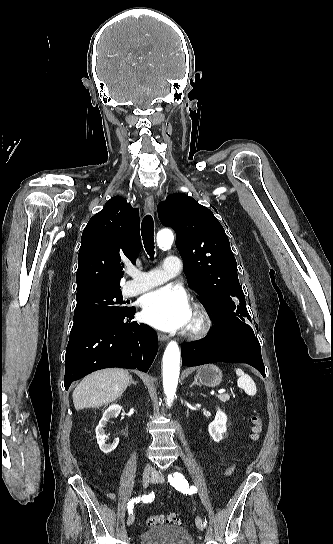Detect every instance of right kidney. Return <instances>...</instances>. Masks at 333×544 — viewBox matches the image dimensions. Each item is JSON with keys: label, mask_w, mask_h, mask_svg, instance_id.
<instances>
[{"label": "right kidney", "mask_w": 333, "mask_h": 544, "mask_svg": "<svg viewBox=\"0 0 333 544\" xmlns=\"http://www.w3.org/2000/svg\"><path fill=\"white\" fill-rule=\"evenodd\" d=\"M121 409H122V407L119 406L118 404L110 405L104 411L103 416H102L98 426L96 427L97 443H98V445L100 447V450L105 454H108V453L112 452L118 446L119 438H116L113 443L107 444L106 440H105L106 434H105V431H104V427H105L107 421L110 418H114V417H117L119 415Z\"/></svg>", "instance_id": "right-kidney-1"}]
</instances>
